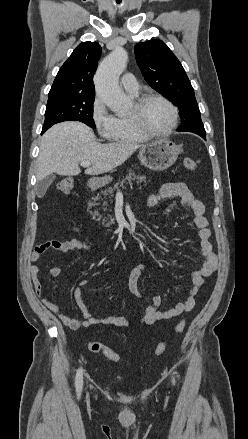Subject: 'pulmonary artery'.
I'll return each instance as SVG.
<instances>
[{
	"label": "pulmonary artery",
	"instance_id": "pulmonary-artery-1",
	"mask_svg": "<svg viewBox=\"0 0 248 439\" xmlns=\"http://www.w3.org/2000/svg\"><path fill=\"white\" fill-rule=\"evenodd\" d=\"M121 85L123 89L129 93H138V82L132 73H126L122 76Z\"/></svg>",
	"mask_w": 248,
	"mask_h": 439
}]
</instances>
